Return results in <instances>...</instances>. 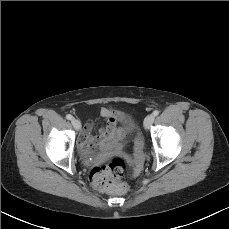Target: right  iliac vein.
Segmentation results:
<instances>
[{
	"label": "right iliac vein",
	"instance_id": "63e3f726",
	"mask_svg": "<svg viewBox=\"0 0 229 229\" xmlns=\"http://www.w3.org/2000/svg\"><path fill=\"white\" fill-rule=\"evenodd\" d=\"M71 122L76 130H79L81 128V123L78 119L73 118Z\"/></svg>",
	"mask_w": 229,
	"mask_h": 229
}]
</instances>
